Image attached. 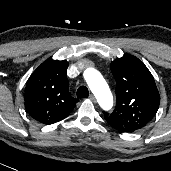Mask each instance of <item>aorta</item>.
Here are the masks:
<instances>
[{
  "label": "aorta",
  "instance_id": "obj_1",
  "mask_svg": "<svg viewBox=\"0 0 171 171\" xmlns=\"http://www.w3.org/2000/svg\"><path fill=\"white\" fill-rule=\"evenodd\" d=\"M86 81L100 106L105 110L111 109L113 97L102 75L97 70L89 68L86 70Z\"/></svg>",
  "mask_w": 171,
  "mask_h": 171
}]
</instances>
